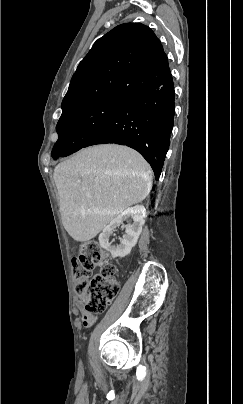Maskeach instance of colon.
<instances>
[{
	"label": "colon",
	"instance_id": "5ec220e1",
	"mask_svg": "<svg viewBox=\"0 0 243 404\" xmlns=\"http://www.w3.org/2000/svg\"><path fill=\"white\" fill-rule=\"evenodd\" d=\"M76 278L75 293L89 314L102 313L118 292L116 267L109 261L107 253L95 241L80 246L78 258L73 262ZM95 268H100L90 276Z\"/></svg>",
	"mask_w": 243,
	"mask_h": 404
}]
</instances>
